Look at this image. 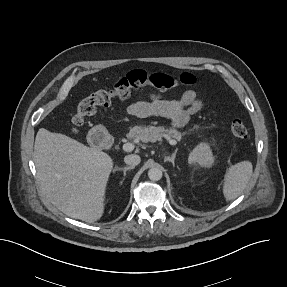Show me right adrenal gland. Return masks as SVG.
Here are the masks:
<instances>
[{
    "label": "right adrenal gland",
    "mask_w": 287,
    "mask_h": 287,
    "mask_svg": "<svg viewBox=\"0 0 287 287\" xmlns=\"http://www.w3.org/2000/svg\"><path fill=\"white\" fill-rule=\"evenodd\" d=\"M134 169V167L130 166V167H124V168H116L115 171H123V175H126V172L128 170Z\"/></svg>",
    "instance_id": "1"
}]
</instances>
